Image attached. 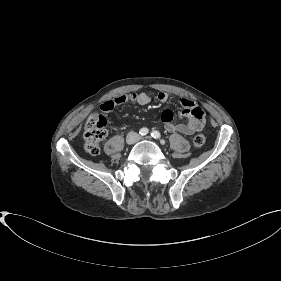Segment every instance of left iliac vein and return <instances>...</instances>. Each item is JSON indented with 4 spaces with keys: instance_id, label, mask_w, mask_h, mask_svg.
Listing matches in <instances>:
<instances>
[{
    "instance_id": "left-iliac-vein-1",
    "label": "left iliac vein",
    "mask_w": 281,
    "mask_h": 281,
    "mask_svg": "<svg viewBox=\"0 0 281 281\" xmlns=\"http://www.w3.org/2000/svg\"><path fill=\"white\" fill-rule=\"evenodd\" d=\"M145 139H147V138H140L139 140H145Z\"/></svg>"
}]
</instances>
